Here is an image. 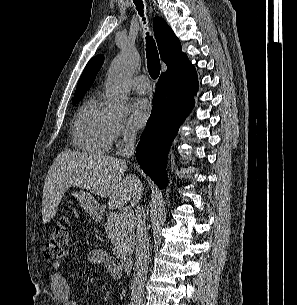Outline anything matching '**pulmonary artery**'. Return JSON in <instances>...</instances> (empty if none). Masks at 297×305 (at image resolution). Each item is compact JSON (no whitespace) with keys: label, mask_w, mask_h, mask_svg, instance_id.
Instances as JSON below:
<instances>
[{"label":"pulmonary artery","mask_w":297,"mask_h":305,"mask_svg":"<svg viewBox=\"0 0 297 305\" xmlns=\"http://www.w3.org/2000/svg\"><path fill=\"white\" fill-rule=\"evenodd\" d=\"M131 86L133 90L141 94H146L150 91L149 81L145 75L135 77L131 82Z\"/></svg>","instance_id":"pulmonary-artery-1"}]
</instances>
